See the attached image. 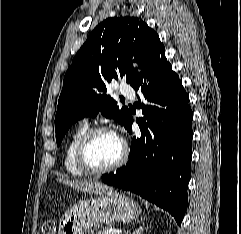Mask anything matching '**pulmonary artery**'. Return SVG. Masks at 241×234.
Returning <instances> with one entry per match:
<instances>
[{
    "mask_svg": "<svg viewBox=\"0 0 241 234\" xmlns=\"http://www.w3.org/2000/svg\"><path fill=\"white\" fill-rule=\"evenodd\" d=\"M119 91L121 94L129 97V98H133L134 97V90L128 86V85H121L119 88ZM84 122L86 123L87 120H84Z\"/></svg>",
    "mask_w": 241,
    "mask_h": 234,
    "instance_id": "1",
    "label": "pulmonary artery"
}]
</instances>
